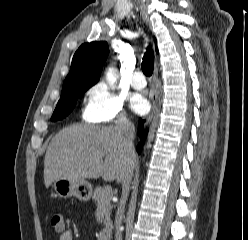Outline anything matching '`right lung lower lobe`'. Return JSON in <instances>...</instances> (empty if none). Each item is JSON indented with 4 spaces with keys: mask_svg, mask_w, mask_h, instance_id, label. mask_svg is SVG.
Wrapping results in <instances>:
<instances>
[{
    "mask_svg": "<svg viewBox=\"0 0 248 240\" xmlns=\"http://www.w3.org/2000/svg\"><path fill=\"white\" fill-rule=\"evenodd\" d=\"M144 122H145V120L139 119V123H138L139 129L138 130H139L140 142H139L138 146L136 147V150L139 154L141 152L142 146L145 142L146 135H147V130L143 129Z\"/></svg>",
    "mask_w": 248,
    "mask_h": 240,
    "instance_id": "98d812e1",
    "label": "right lung lower lobe"
}]
</instances>
